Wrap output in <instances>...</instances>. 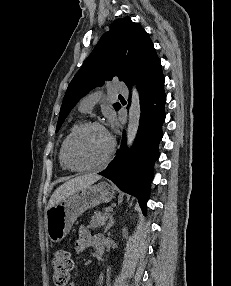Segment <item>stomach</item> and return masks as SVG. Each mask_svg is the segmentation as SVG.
Segmentation results:
<instances>
[{
    "instance_id": "obj_1",
    "label": "stomach",
    "mask_w": 231,
    "mask_h": 286,
    "mask_svg": "<svg viewBox=\"0 0 231 286\" xmlns=\"http://www.w3.org/2000/svg\"><path fill=\"white\" fill-rule=\"evenodd\" d=\"M115 188L107 182H99L82 188L46 211V232L51 242L62 241L76 219L86 210L101 203L110 202Z\"/></svg>"
}]
</instances>
